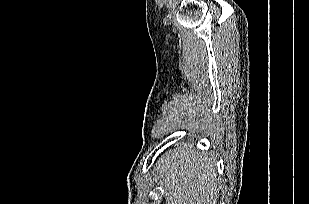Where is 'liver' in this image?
<instances>
[{
    "label": "liver",
    "instance_id": "liver-1",
    "mask_svg": "<svg viewBox=\"0 0 309 204\" xmlns=\"http://www.w3.org/2000/svg\"><path fill=\"white\" fill-rule=\"evenodd\" d=\"M155 170L166 204L217 203L221 182L213 154L187 147L175 149L161 157Z\"/></svg>",
    "mask_w": 309,
    "mask_h": 204
}]
</instances>
